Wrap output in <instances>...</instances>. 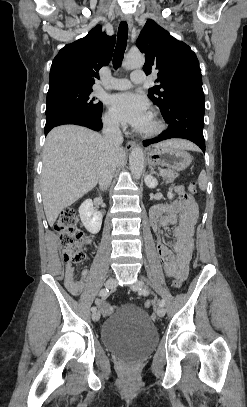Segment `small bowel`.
<instances>
[{
	"instance_id": "small-bowel-1",
	"label": "small bowel",
	"mask_w": 247,
	"mask_h": 407,
	"mask_svg": "<svg viewBox=\"0 0 247 407\" xmlns=\"http://www.w3.org/2000/svg\"><path fill=\"white\" fill-rule=\"evenodd\" d=\"M178 199L169 204L154 206L150 211V221L153 230L159 235L157 250L164 264L165 273L175 279L185 280L194 249V227L198 219L199 209L196 202L189 197L181 187L176 188ZM168 226H175L174 243L165 244L160 237ZM89 275L88 269L81 272V280L77 281L74 267L68 262L65 265V285L70 293L77 295L84 288ZM97 305L105 308V302L98 300Z\"/></svg>"
}]
</instances>
